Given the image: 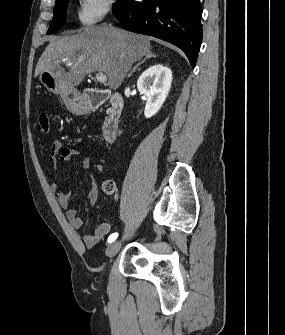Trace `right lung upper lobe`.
<instances>
[{"label":"right lung upper lobe","mask_w":285,"mask_h":335,"mask_svg":"<svg viewBox=\"0 0 285 335\" xmlns=\"http://www.w3.org/2000/svg\"><path fill=\"white\" fill-rule=\"evenodd\" d=\"M61 1H62V0H56V4H57V3H60Z\"/></svg>","instance_id":"1"}]
</instances>
